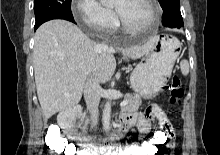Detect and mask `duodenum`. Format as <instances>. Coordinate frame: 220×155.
<instances>
[{"label":"duodenum","mask_w":220,"mask_h":155,"mask_svg":"<svg viewBox=\"0 0 220 155\" xmlns=\"http://www.w3.org/2000/svg\"><path fill=\"white\" fill-rule=\"evenodd\" d=\"M81 109L80 107H72L69 108L65 111H63L60 115L59 122L61 127L65 130V132L75 141L78 143H81L84 145L85 150L84 154L85 155H99V154H104L106 153V149H102L97 146H92L90 143V140L84 136L79 135L75 129H74V120L76 117L80 114ZM126 131V128L123 124L119 126L117 129V132L115 134L116 137H120L124 132Z\"/></svg>","instance_id":"1"}]
</instances>
